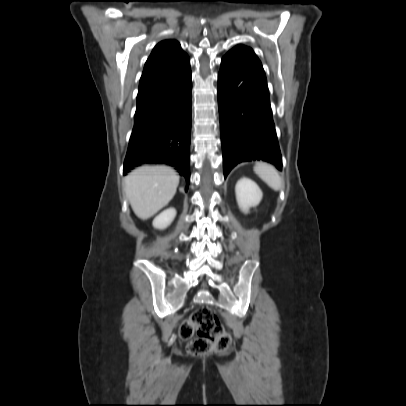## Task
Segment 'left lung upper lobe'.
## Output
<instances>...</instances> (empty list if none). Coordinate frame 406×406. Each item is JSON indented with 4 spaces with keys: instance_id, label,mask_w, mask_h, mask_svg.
I'll list each match as a JSON object with an SVG mask.
<instances>
[{
    "instance_id": "5c2ea615",
    "label": "left lung upper lobe",
    "mask_w": 406,
    "mask_h": 406,
    "mask_svg": "<svg viewBox=\"0 0 406 406\" xmlns=\"http://www.w3.org/2000/svg\"><path fill=\"white\" fill-rule=\"evenodd\" d=\"M232 50L246 51V52H249L250 54H252L253 56L256 57V55L254 54V52H253V50L251 48L243 46V45H238V46L234 47Z\"/></svg>"
}]
</instances>
